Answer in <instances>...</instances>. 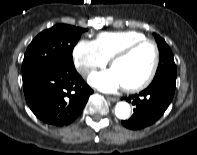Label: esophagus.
<instances>
[{
    "instance_id": "1",
    "label": "esophagus",
    "mask_w": 197,
    "mask_h": 155,
    "mask_svg": "<svg viewBox=\"0 0 197 155\" xmlns=\"http://www.w3.org/2000/svg\"><path fill=\"white\" fill-rule=\"evenodd\" d=\"M106 98H107L108 101H111V102L118 101V98L117 97L106 96Z\"/></svg>"
}]
</instances>
